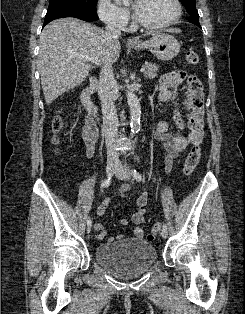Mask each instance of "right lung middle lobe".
<instances>
[{
    "label": "right lung middle lobe",
    "instance_id": "right-lung-middle-lobe-1",
    "mask_svg": "<svg viewBox=\"0 0 245 314\" xmlns=\"http://www.w3.org/2000/svg\"><path fill=\"white\" fill-rule=\"evenodd\" d=\"M97 0H50L49 10L55 9H80L89 12H96Z\"/></svg>",
    "mask_w": 245,
    "mask_h": 314
}]
</instances>
